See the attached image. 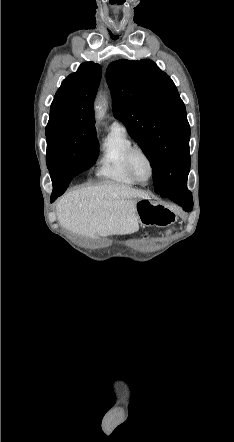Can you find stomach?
<instances>
[{
  "label": "stomach",
  "mask_w": 234,
  "mask_h": 442,
  "mask_svg": "<svg viewBox=\"0 0 234 442\" xmlns=\"http://www.w3.org/2000/svg\"><path fill=\"white\" fill-rule=\"evenodd\" d=\"M138 221L144 225L169 226L177 221L176 212L168 205L148 199H139L135 204Z\"/></svg>",
  "instance_id": "0dacf381"
}]
</instances>
